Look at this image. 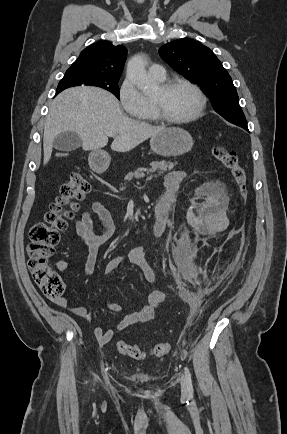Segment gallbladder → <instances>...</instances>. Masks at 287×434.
<instances>
[{"label": "gallbladder", "mask_w": 287, "mask_h": 434, "mask_svg": "<svg viewBox=\"0 0 287 434\" xmlns=\"http://www.w3.org/2000/svg\"><path fill=\"white\" fill-rule=\"evenodd\" d=\"M82 146L81 137L75 132L59 134L53 141V147L59 151L70 152Z\"/></svg>", "instance_id": "1"}]
</instances>
